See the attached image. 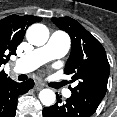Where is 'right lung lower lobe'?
I'll return each mask as SVG.
<instances>
[{
  "label": "right lung lower lobe",
  "instance_id": "1",
  "mask_svg": "<svg viewBox=\"0 0 117 117\" xmlns=\"http://www.w3.org/2000/svg\"><path fill=\"white\" fill-rule=\"evenodd\" d=\"M33 86L34 81L32 79L22 83L10 80L0 86V117H14L18 96L28 92Z\"/></svg>",
  "mask_w": 117,
  "mask_h": 117
}]
</instances>
